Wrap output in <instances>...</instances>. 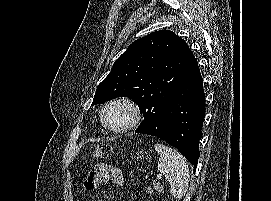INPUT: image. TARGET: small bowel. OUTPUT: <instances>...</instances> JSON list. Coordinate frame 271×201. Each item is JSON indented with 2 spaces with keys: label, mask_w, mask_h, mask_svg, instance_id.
<instances>
[{
  "label": "small bowel",
  "mask_w": 271,
  "mask_h": 201,
  "mask_svg": "<svg viewBox=\"0 0 271 201\" xmlns=\"http://www.w3.org/2000/svg\"><path fill=\"white\" fill-rule=\"evenodd\" d=\"M111 180L118 190H124L126 181L122 171L116 167L100 164L96 165L87 175L84 187L86 190H95L102 182Z\"/></svg>",
  "instance_id": "1"
}]
</instances>
